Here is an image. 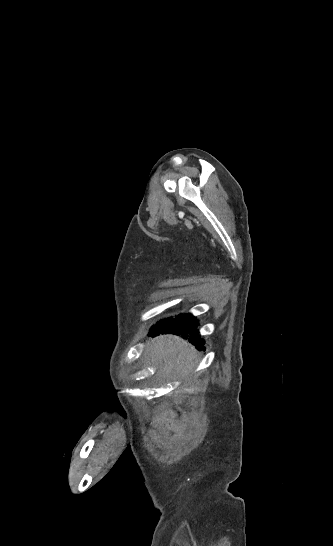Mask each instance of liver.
Returning a JSON list of instances; mask_svg holds the SVG:
<instances>
[{"instance_id":"1","label":"liver","mask_w":333,"mask_h":546,"mask_svg":"<svg viewBox=\"0 0 333 546\" xmlns=\"http://www.w3.org/2000/svg\"><path fill=\"white\" fill-rule=\"evenodd\" d=\"M147 354L152 362L159 365L157 375L162 378H186L196 365L195 348L173 335H161L153 339Z\"/></svg>"}]
</instances>
